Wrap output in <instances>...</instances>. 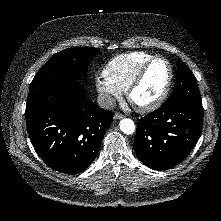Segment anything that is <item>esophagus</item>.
I'll return each instance as SVG.
<instances>
[{
	"label": "esophagus",
	"mask_w": 221,
	"mask_h": 221,
	"mask_svg": "<svg viewBox=\"0 0 221 221\" xmlns=\"http://www.w3.org/2000/svg\"><path fill=\"white\" fill-rule=\"evenodd\" d=\"M121 118H123V115H122L121 113L116 112V113L114 114V119H115V120H118V119H121Z\"/></svg>",
	"instance_id": "34e87169"
}]
</instances>
